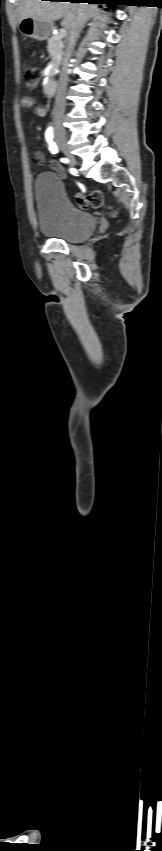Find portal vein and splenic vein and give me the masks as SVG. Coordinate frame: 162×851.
I'll list each match as a JSON object with an SVG mask.
<instances>
[{
  "label": "portal vein and splenic vein",
  "instance_id": "obj_1",
  "mask_svg": "<svg viewBox=\"0 0 162 851\" xmlns=\"http://www.w3.org/2000/svg\"><path fill=\"white\" fill-rule=\"evenodd\" d=\"M66 34H67V30L65 28H62L61 31H60V36L63 38Z\"/></svg>",
  "mask_w": 162,
  "mask_h": 851
}]
</instances>
